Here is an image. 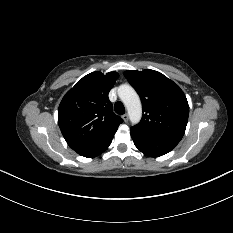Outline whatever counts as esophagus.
Instances as JSON below:
<instances>
[{"mask_svg": "<svg viewBox=\"0 0 233 233\" xmlns=\"http://www.w3.org/2000/svg\"><path fill=\"white\" fill-rule=\"evenodd\" d=\"M122 118H123L124 122H127L128 119H129V115L126 113V114H124V115L122 116Z\"/></svg>", "mask_w": 233, "mask_h": 233, "instance_id": "esophagus-1", "label": "esophagus"}]
</instances>
